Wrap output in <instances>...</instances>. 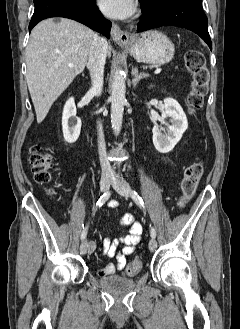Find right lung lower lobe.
Masks as SVG:
<instances>
[{"label":"right lung lower lobe","mask_w":240,"mask_h":329,"mask_svg":"<svg viewBox=\"0 0 240 329\" xmlns=\"http://www.w3.org/2000/svg\"><path fill=\"white\" fill-rule=\"evenodd\" d=\"M34 5L29 31L43 19L64 17L83 23L110 38L111 22L102 16L95 0H34Z\"/></svg>","instance_id":"obj_1"}]
</instances>
